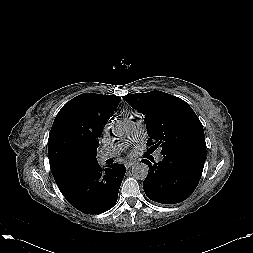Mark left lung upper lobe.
<instances>
[{"label": "left lung upper lobe", "instance_id": "left-lung-upper-lobe-1", "mask_svg": "<svg viewBox=\"0 0 253 253\" xmlns=\"http://www.w3.org/2000/svg\"><path fill=\"white\" fill-rule=\"evenodd\" d=\"M123 99L145 115L150 150L207 154L203 126L184 100L161 91L128 94Z\"/></svg>", "mask_w": 253, "mask_h": 253}]
</instances>
